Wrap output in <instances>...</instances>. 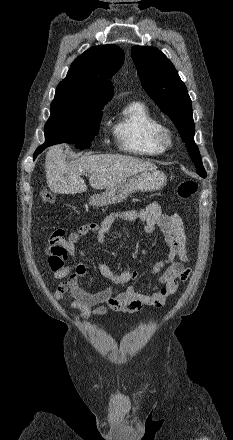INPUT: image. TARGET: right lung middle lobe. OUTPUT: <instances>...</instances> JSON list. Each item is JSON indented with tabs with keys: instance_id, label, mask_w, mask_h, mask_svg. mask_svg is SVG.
<instances>
[{
	"instance_id": "obj_1",
	"label": "right lung middle lobe",
	"mask_w": 233,
	"mask_h": 440,
	"mask_svg": "<svg viewBox=\"0 0 233 440\" xmlns=\"http://www.w3.org/2000/svg\"><path fill=\"white\" fill-rule=\"evenodd\" d=\"M104 105L85 103H53L51 115L45 125V145L66 142L76 148L90 146L99 130Z\"/></svg>"
}]
</instances>
